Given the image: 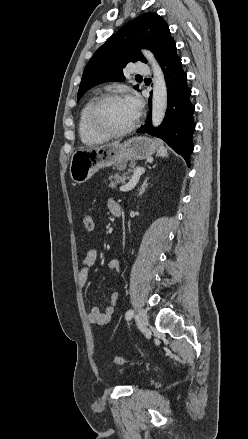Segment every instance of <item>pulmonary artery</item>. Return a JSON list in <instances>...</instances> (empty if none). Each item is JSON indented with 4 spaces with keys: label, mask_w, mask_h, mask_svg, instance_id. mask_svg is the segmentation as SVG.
<instances>
[{
    "label": "pulmonary artery",
    "mask_w": 248,
    "mask_h": 439,
    "mask_svg": "<svg viewBox=\"0 0 248 439\" xmlns=\"http://www.w3.org/2000/svg\"><path fill=\"white\" fill-rule=\"evenodd\" d=\"M134 73L138 76L149 75L150 70L149 67L143 62H135L134 63Z\"/></svg>",
    "instance_id": "e3ab8cb5"
}]
</instances>
